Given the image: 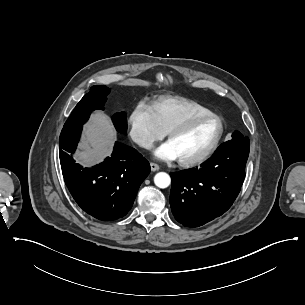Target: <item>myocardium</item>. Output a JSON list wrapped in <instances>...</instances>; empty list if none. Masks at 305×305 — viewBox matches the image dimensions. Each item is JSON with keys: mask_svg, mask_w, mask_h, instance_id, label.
<instances>
[{"mask_svg": "<svg viewBox=\"0 0 305 305\" xmlns=\"http://www.w3.org/2000/svg\"><path fill=\"white\" fill-rule=\"evenodd\" d=\"M210 118H217L221 122V131H220L218 138L216 139V141L213 143V145L211 147H209L205 152H203L199 156L194 157V158H189V159H179L178 158L179 163L182 166L193 167L195 165H198V164H201V163L207 161L220 148V146L224 142L226 134H227V124L221 115H219L216 112L210 111L206 114L189 117V118L181 121L180 123L176 124L168 131L167 136H168V140L170 141L175 135L185 131L191 125L206 121Z\"/></svg>", "mask_w": 305, "mask_h": 305, "instance_id": "1", "label": "myocardium"}]
</instances>
